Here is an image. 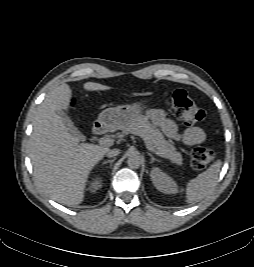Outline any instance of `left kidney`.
Masks as SVG:
<instances>
[{"label":"left kidney","mask_w":254,"mask_h":267,"mask_svg":"<svg viewBox=\"0 0 254 267\" xmlns=\"http://www.w3.org/2000/svg\"><path fill=\"white\" fill-rule=\"evenodd\" d=\"M150 176L154 186L160 192L165 194H175L178 192L175 181L160 168L154 167L151 170Z\"/></svg>","instance_id":"1"}]
</instances>
